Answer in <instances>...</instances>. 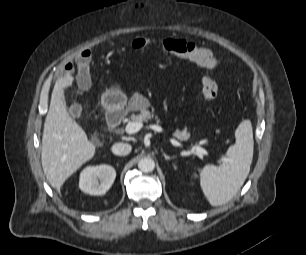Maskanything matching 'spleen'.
<instances>
[{
    "label": "spleen",
    "mask_w": 306,
    "mask_h": 255,
    "mask_svg": "<svg viewBox=\"0 0 306 255\" xmlns=\"http://www.w3.org/2000/svg\"><path fill=\"white\" fill-rule=\"evenodd\" d=\"M236 143L229 147L220 166L206 165L200 172V186L212 206L229 202L246 180L253 158L251 121L243 120L235 131Z\"/></svg>",
    "instance_id": "obj_1"
}]
</instances>
